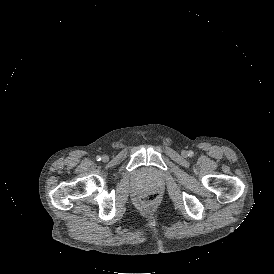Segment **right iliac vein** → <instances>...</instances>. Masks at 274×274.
Here are the masks:
<instances>
[{"label":"right iliac vein","mask_w":274,"mask_h":274,"mask_svg":"<svg viewBox=\"0 0 274 274\" xmlns=\"http://www.w3.org/2000/svg\"><path fill=\"white\" fill-rule=\"evenodd\" d=\"M102 160H103V161H107V160H108V156H107V155H103V156H102Z\"/></svg>","instance_id":"right-iliac-vein-1"}]
</instances>
